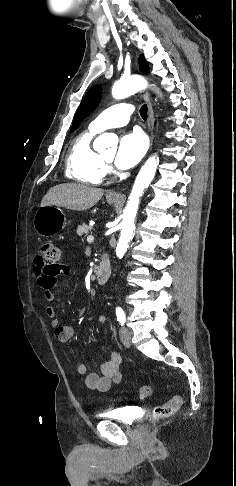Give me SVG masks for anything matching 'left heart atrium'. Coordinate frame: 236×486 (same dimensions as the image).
<instances>
[{
    "label": "left heart atrium",
    "mask_w": 236,
    "mask_h": 486,
    "mask_svg": "<svg viewBox=\"0 0 236 486\" xmlns=\"http://www.w3.org/2000/svg\"><path fill=\"white\" fill-rule=\"evenodd\" d=\"M146 149V139L140 132L135 131L123 135L115 156L116 166L120 169H129L135 166L145 154Z\"/></svg>",
    "instance_id": "1"
}]
</instances>
